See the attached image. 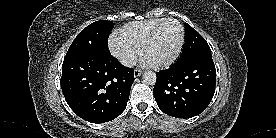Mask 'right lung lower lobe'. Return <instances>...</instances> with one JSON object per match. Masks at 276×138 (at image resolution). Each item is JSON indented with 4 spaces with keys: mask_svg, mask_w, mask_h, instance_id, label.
<instances>
[{
    "mask_svg": "<svg viewBox=\"0 0 276 138\" xmlns=\"http://www.w3.org/2000/svg\"><path fill=\"white\" fill-rule=\"evenodd\" d=\"M134 70L110 53L80 52L64 58L61 87L66 102L80 118L104 123L126 108Z\"/></svg>",
    "mask_w": 276,
    "mask_h": 138,
    "instance_id": "98d812e1",
    "label": "right lung lower lobe"
}]
</instances>
